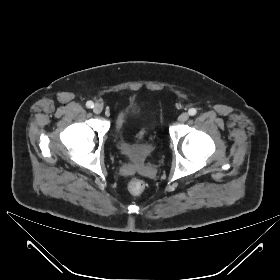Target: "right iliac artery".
I'll use <instances>...</instances> for the list:
<instances>
[{
  "label": "right iliac artery",
  "instance_id": "82829eb1",
  "mask_svg": "<svg viewBox=\"0 0 280 280\" xmlns=\"http://www.w3.org/2000/svg\"><path fill=\"white\" fill-rule=\"evenodd\" d=\"M86 106H87L88 108H93V107H94V103H93L92 101H88V102L86 103Z\"/></svg>",
  "mask_w": 280,
  "mask_h": 280
}]
</instances>
